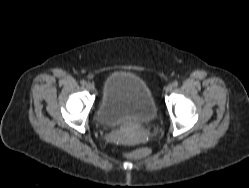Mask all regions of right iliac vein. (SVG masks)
I'll list each match as a JSON object with an SVG mask.
<instances>
[{"instance_id": "right-iliac-vein-1", "label": "right iliac vein", "mask_w": 249, "mask_h": 188, "mask_svg": "<svg viewBox=\"0 0 249 188\" xmlns=\"http://www.w3.org/2000/svg\"><path fill=\"white\" fill-rule=\"evenodd\" d=\"M86 87H87V89L90 90V91H93V89H94V86H93V84H91V83H87V84H86Z\"/></svg>"}]
</instances>
